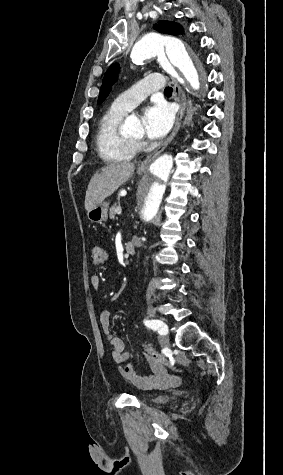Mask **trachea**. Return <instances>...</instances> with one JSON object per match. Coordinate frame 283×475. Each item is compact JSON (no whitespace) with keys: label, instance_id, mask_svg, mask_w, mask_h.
<instances>
[{"label":"trachea","instance_id":"trachea-1","mask_svg":"<svg viewBox=\"0 0 283 475\" xmlns=\"http://www.w3.org/2000/svg\"><path fill=\"white\" fill-rule=\"evenodd\" d=\"M165 94H172V88L171 87H166L164 90Z\"/></svg>","mask_w":283,"mask_h":475}]
</instances>
